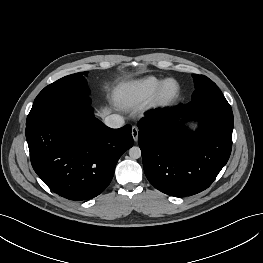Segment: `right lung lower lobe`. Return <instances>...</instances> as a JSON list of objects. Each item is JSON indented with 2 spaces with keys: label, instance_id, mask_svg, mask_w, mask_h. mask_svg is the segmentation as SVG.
Masks as SVG:
<instances>
[{
  "label": "right lung lower lobe",
  "instance_id": "obj_1",
  "mask_svg": "<svg viewBox=\"0 0 263 263\" xmlns=\"http://www.w3.org/2000/svg\"><path fill=\"white\" fill-rule=\"evenodd\" d=\"M90 104L86 96L77 110L61 107L26 125L33 169L52 191L75 201L99 195L133 145L130 125L108 128Z\"/></svg>",
  "mask_w": 263,
  "mask_h": 263
}]
</instances>
